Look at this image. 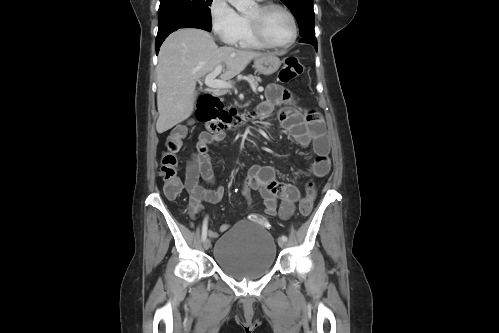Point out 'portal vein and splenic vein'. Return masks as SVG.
Wrapping results in <instances>:
<instances>
[{
  "mask_svg": "<svg viewBox=\"0 0 499 333\" xmlns=\"http://www.w3.org/2000/svg\"><path fill=\"white\" fill-rule=\"evenodd\" d=\"M221 71H222V65L220 64L214 69L213 72H211L205 77L204 84L210 88H219V89L230 88L231 87L230 82H227L226 80L216 79V77L221 73ZM252 88L254 91L256 90V88L253 85ZM258 91L262 92L263 88L262 87L258 88Z\"/></svg>",
  "mask_w": 499,
  "mask_h": 333,
  "instance_id": "1",
  "label": "portal vein and splenic vein"
}]
</instances>
